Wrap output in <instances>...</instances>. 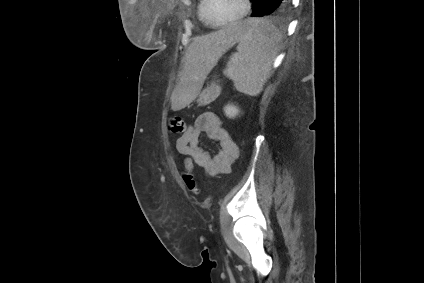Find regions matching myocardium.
<instances>
[{"label":"myocardium","mask_w":424,"mask_h":283,"mask_svg":"<svg viewBox=\"0 0 424 283\" xmlns=\"http://www.w3.org/2000/svg\"><path fill=\"white\" fill-rule=\"evenodd\" d=\"M210 0H204V5H203V20L204 22L213 28H218V27H223L229 24H233L241 19H243L250 11L251 9V0H243V10L241 11V13L230 19L227 21H224L222 23H218V24H213L210 22V20L208 19V6H209Z\"/></svg>","instance_id":"myocardium-1"}]
</instances>
